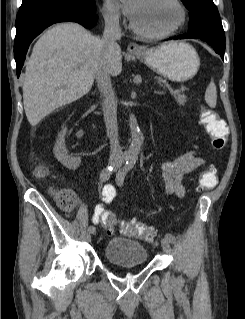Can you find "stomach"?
Here are the masks:
<instances>
[{"label":"stomach","mask_w":245,"mask_h":319,"mask_svg":"<svg viewBox=\"0 0 245 319\" xmlns=\"http://www.w3.org/2000/svg\"><path fill=\"white\" fill-rule=\"evenodd\" d=\"M135 56L158 74L176 82L191 79L200 66L196 50L185 42H168Z\"/></svg>","instance_id":"obj_1"}]
</instances>
